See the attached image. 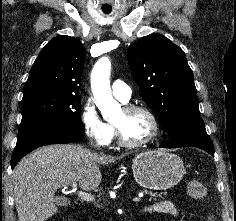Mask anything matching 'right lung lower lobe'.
Here are the masks:
<instances>
[{"label":"right lung lower lobe","mask_w":236,"mask_h":221,"mask_svg":"<svg viewBox=\"0 0 236 221\" xmlns=\"http://www.w3.org/2000/svg\"><path fill=\"white\" fill-rule=\"evenodd\" d=\"M84 136L83 129H73L65 125L37 122L21 127L16 147L11 157V167L30 151L49 144L72 143Z\"/></svg>","instance_id":"98d812e1"}]
</instances>
